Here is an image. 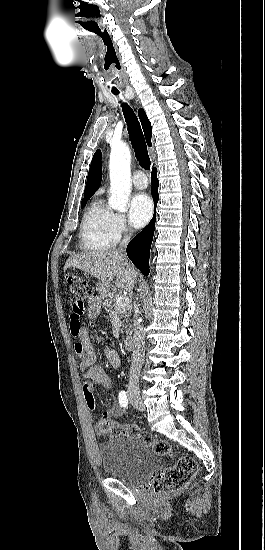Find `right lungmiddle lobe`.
Segmentation results:
<instances>
[{
	"instance_id": "1",
	"label": "right lung middle lobe",
	"mask_w": 265,
	"mask_h": 550,
	"mask_svg": "<svg viewBox=\"0 0 265 550\" xmlns=\"http://www.w3.org/2000/svg\"><path fill=\"white\" fill-rule=\"evenodd\" d=\"M88 199H89V198L83 199V200H82L81 208H84V206L86 205Z\"/></svg>"
}]
</instances>
